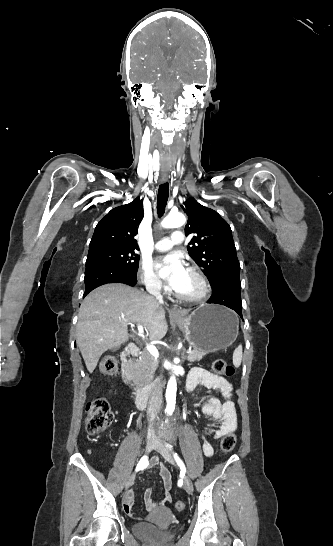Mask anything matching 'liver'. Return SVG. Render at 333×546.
Instances as JSON below:
<instances>
[{
  "instance_id": "6515ba94",
  "label": "liver",
  "mask_w": 333,
  "mask_h": 546,
  "mask_svg": "<svg viewBox=\"0 0 333 546\" xmlns=\"http://www.w3.org/2000/svg\"><path fill=\"white\" fill-rule=\"evenodd\" d=\"M141 325L152 341L161 340L168 325L165 309L152 296L122 283L102 285L82 302L77 344L91 373L102 354L129 340L128 325Z\"/></svg>"
}]
</instances>
